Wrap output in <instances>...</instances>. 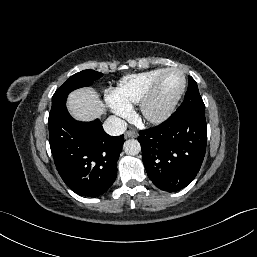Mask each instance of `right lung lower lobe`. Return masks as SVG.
<instances>
[{
	"instance_id": "right-lung-lower-lobe-1",
	"label": "right lung lower lobe",
	"mask_w": 257,
	"mask_h": 257,
	"mask_svg": "<svg viewBox=\"0 0 257 257\" xmlns=\"http://www.w3.org/2000/svg\"><path fill=\"white\" fill-rule=\"evenodd\" d=\"M48 126L54 163L66 185L80 196L105 193L116 179L124 135H108L98 119H73L66 106L49 116Z\"/></svg>"
}]
</instances>
